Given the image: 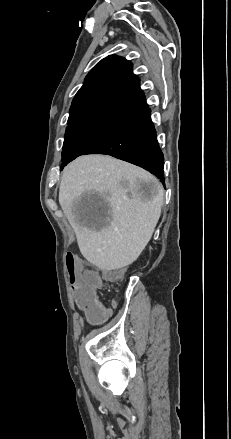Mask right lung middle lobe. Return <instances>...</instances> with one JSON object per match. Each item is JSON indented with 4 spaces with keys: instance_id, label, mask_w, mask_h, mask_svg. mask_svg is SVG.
<instances>
[{
    "instance_id": "right-lung-middle-lobe-1",
    "label": "right lung middle lobe",
    "mask_w": 231,
    "mask_h": 439,
    "mask_svg": "<svg viewBox=\"0 0 231 439\" xmlns=\"http://www.w3.org/2000/svg\"><path fill=\"white\" fill-rule=\"evenodd\" d=\"M122 120L108 115H79L69 117L62 151L61 169L83 155Z\"/></svg>"
}]
</instances>
